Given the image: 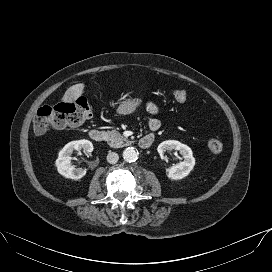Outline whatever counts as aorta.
Returning <instances> with one entry per match:
<instances>
[{
	"instance_id": "762f6f07",
	"label": "aorta",
	"mask_w": 272,
	"mask_h": 272,
	"mask_svg": "<svg viewBox=\"0 0 272 272\" xmlns=\"http://www.w3.org/2000/svg\"><path fill=\"white\" fill-rule=\"evenodd\" d=\"M123 159L126 162H134L138 159V151L134 147H128L123 151Z\"/></svg>"
}]
</instances>
